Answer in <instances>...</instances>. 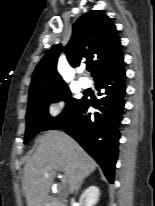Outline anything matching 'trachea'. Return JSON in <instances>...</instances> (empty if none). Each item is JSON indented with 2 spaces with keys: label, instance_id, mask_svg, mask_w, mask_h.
I'll use <instances>...</instances> for the list:
<instances>
[{
  "label": "trachea",
  "instance_id": "1",
  "mask_svg": "<svg viewBox=\"0 0 155 206\" xmlns=\"http://www.w3.org/2000/svg\"><path fill=\"white\" fill-rule=\"evenodd\" d=\"M92 69H91V67H88V71H91Z\"/></svg>",
  "mask_w": 155,
  "mask_h": 206
}]
</instances>
